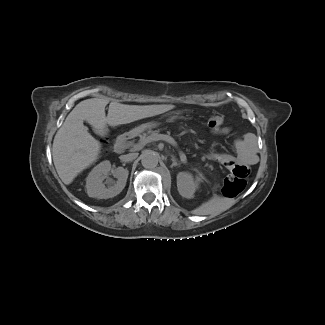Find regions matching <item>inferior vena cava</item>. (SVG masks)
I'll use <instances>...</instances> for the list:
<instances>
[{
    "label": "inferior vena cava",
    "instance_id": "inferior-vena-cava-1",
    "mask_svg": "<svg viewBox=\"0 0 325 325\" xmlns=\"http://www.w3.org/2000/svg\"><path fill=\"white\" fill-rule=\"evenodd\" d=\"M137 154L136 153H129V154H126V155H121L120 156V159L124 162H129V161H133L134 159L137 158Z\"/></svg>",
    "mask_w": 325,
    "mask_h": 325
}]
</instances>
